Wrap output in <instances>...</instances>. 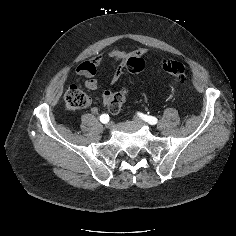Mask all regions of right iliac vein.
<instances>
[{
  "instance_id": "63e3f726",
  "label": "right iliac vein",
  "mask_w": 236,
  "mask_h": 236,
  "mask_svg": "<svg viewBox=\"0 0 236 236\" xmlns=\"http://www.w3.org/2000/svg\"><path fill=\"white\" fill-rule=\"evenodd\" d=\"M106 128H107V129H112V128H113V123H112V122H108V123L106 124Z\"/></svg>"
}]
</instances>
